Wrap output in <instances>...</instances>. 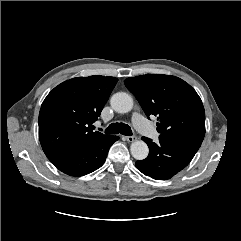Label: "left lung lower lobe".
<instances>
[{
    "label": "left lung lower lobe",
    "instance_id": "left-lung-lower-lobe-1",
    "mask_svg": "<svg viewBox=\"0 0 241 241\" xmlns=\"http://www.w3.org/2000/svg\"><path fill=\"white\" fill-rule=\"evenodd\" d=\"M149 147L146 159L137 161L136 167L146 176L156 180H168L184 169L199 149L201 142L176 140L159 136V143L142 137Z\"/></svg>",
    "mask_w": 241,
    "mask_h": 241
}]
</instances>
